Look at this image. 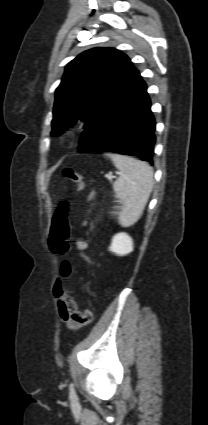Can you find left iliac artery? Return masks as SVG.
<instances>
[{"label":"left iliac artery","mask_w":208,"mask_h":425,"mask_svg":"<svg viewBox=\"0 0 208 425\" xmlns=\"http://www.w3.org/2000/svg\"><path fill=\"white\" fill-rule=\"evenodd\" d=\"M69 388H70V394H71V396L76 397L74 385L72 383L69 385Z\"/></svg>","instance_id":"1"}]
</instances>
